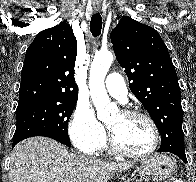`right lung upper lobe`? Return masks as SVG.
<instances>
[{
    "label": "right lung upper lobe",
    "instance_id": "cb5924a9",
    "mask_svg": "<svg viewBox=\"0 0 196 182\" xmlns=\"http://www.w3.org/2000/svg\"><path fill=\"white\" fill-rule=\"evenodd\" d=\"M66 22L41 31L28 47L18 105L39 100L78 99L74 81L77 41Z\"/></svg>",
    "mask_w": 196,
    "mask_h": 182
}]
</instances>
